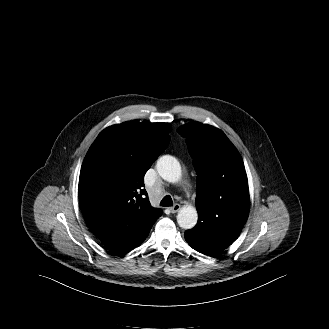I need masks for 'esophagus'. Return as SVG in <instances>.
Segmentation results:
<instances>
[{
	"label": "esophagus",
	"mask_w": 329,
	"mask_h": 329,
	"mask_svg": "<svg viewBox=\"0 0 329 329\" xmlns=\"http://www.w3.org/2000/svg\"><path fill=\"white\" fill-rule=\"evenodd\" d=\"M181 206L179 204H175L174 206L170 207L169 210L171 213H176L180 210Z\"/></svg>",
	"instance_id": "1"
}]
</instances>
